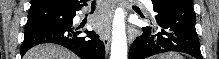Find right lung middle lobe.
Wrapping results in <instances>:
<instances>
[{
  "mask_svg": "<svg viewBox=\"0 0 219 59\" xmlns=\"http://www.w3.org/2000/svg\"><path fill=\"white\" fill-rule=\"evenodd\" d=\"M65 14L64 9L46 8L30 11L25 32L49 25L59 24Z\"/></svg>",
  "mask_w": 219,
  "mask_h": 59,
  "instance_id": "dd1d6c3e",
  "label": "right lung middle lobe"
}]
</instances>
